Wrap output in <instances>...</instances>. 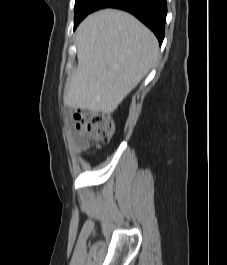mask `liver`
I'll return each mask as SVG.
<instances>
[{
  "mask_svg": "<svg viewBox=\"0 0 227 265\" xmlns=\"http://www.w3.org/2000/svg\"><path fill=\"white\" fill-rule=\"evenodd\" d=\"M78 67L63 100L74 109L111 113L154 66L155 35L129 13L105 9L86 17L76 31Z\"/></svg>",
  "mask_w": 227,
  "mask_h": 265,
  "instance_id": "1",
  "label": "liver"
}]
</instances>
